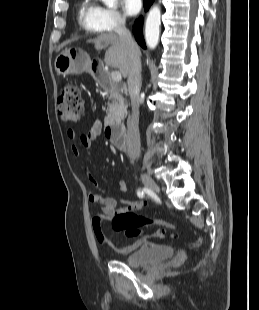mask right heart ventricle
<instances>
[{"mask_svg": "<svg viewBox=\"0 0 259 310\" xmlns=\"http://www.w3.org/2000/svg\"><path fill=\"white\" fill-rule=\"evenodd\" d=\"M97 13L98 7L93 0H82L79 8L78 22L85 31L96 33L103 30L99 25Z\"/></svg>", "mask_w": 259, "mask_h": 310, "instance_id": "obj_1", "label": "right heart ventricle"}]
</instances>
